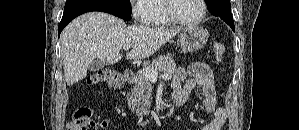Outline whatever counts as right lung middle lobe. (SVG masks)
<instances>
[{"instance_id":"1","label":"right lung middle lobe","mask_w":299,"mask_h":130,"mask_svg":"<svg viewBox=\"0 0 299 130\" xmlns=\"http://www.w3.org/2000/svg\"><path fill=\"white\" fill-rule=\"evenodd\" d=\"M73 0H67V2H71ZM94 1H99V2H104V3H108V4H113L116 5L128 12H132L131 6H130V0H94Z\"/></svg>"}]
</instances>
